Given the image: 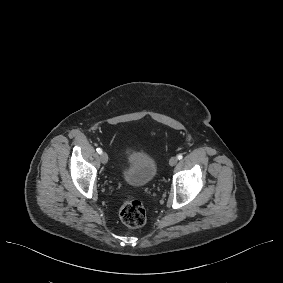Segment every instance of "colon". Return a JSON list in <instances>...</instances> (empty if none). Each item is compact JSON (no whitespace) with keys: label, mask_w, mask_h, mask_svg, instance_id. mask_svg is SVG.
<instances>
[{"label":"colon","mask_w":283,"mask_h":283,"mask_svg":"<svg viewBox=\"0 0 283 283\" xmlns=\"http://www.w3.org/2000/svg\"><path fill=\"white\" fill-rule=\"evenodd\" d=\"M119 216L127 227L139 228L146 222V209L139 200L127 196L121 202Z\"/></svg>","instance_id":"1"}]
</instances>
